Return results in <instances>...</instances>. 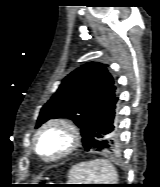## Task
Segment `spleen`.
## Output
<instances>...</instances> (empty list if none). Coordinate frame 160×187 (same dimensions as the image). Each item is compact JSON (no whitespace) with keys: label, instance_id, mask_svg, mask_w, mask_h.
Wrapping results in <instances>:
<instances>
[{"label":"spleen","instance_id":"3e777b00","mask_svg":"<svg viewBox=\"0 0 160 187\" xmlns=\"http://www.w3.org/2000/svg\"><path fill=\"white\" fill-rule=\"evenodd\" d=\"M70 184H115L117 173L106 159H96L74 165L69 173Z\"/></svg>","mask_w":160,"mask_h":187}]
</instances>
